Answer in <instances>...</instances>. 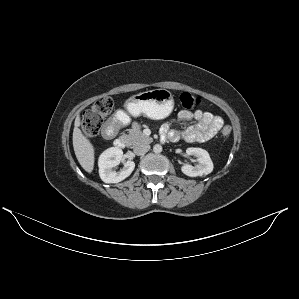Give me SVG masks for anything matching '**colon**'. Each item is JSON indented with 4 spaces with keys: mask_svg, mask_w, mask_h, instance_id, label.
Here are the masks:
<instances>
[{
    "mask_svg": "<svg viewBox=\"0 0 299 299\" xmlns=\"http://www.w3.org/2000/svg\"><path fill=\"white\" fill-rule=\"evenodd\" d=\"M180 104L185 109H193L201 104L198 97L190 93L184 92L179 97ZM114 107L112 97L104 96L98 99L93 105L84 112L82 117V132L92 138L99 134L104 120L111 114ZM231 133V127L225 125L221 129V134L228 137Z\"/></svg>",
    "mask_w": 299,
    "mask_h": 299,
    "instance_id": "5ec220e1",
    "label": "colon"
}]
</instances>
